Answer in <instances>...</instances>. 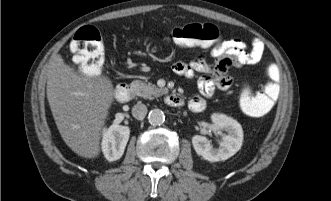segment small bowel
Listing matches in <instances>:
<instances>
[{"label": "small bowel", "instance_id": "c3829d8e", "mask_svg": "<svg viewBox=\"0 0 331 201\" xmlns=\"http://www.w3.org/2000/svg\"><path fill=\"white\" fill-rule=\"evenodd\" d=\"M264 52V44L255 38L250 44L238 38L223 41L219 46L209 50L213 63H208L204 54H199L190 61H177L173 71L186 78H197L199 94L188 102L193 112H202L206 107L205 98L212 97L217 90L227 91L233 85V79L227 75L231 66L254 65L258 63Z\"/></svg>", "mask_w": 331, "mask_h": 201}]
</instances>
